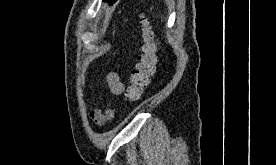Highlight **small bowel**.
I'll use <instances>...</instances> for the list:
<instances>
[{
  "label": "small bowel",
  "mask_w": 276,
  "mask_h": 165,
  "mask_svg": "<svg viewBox=\"0 0 276 165\" xmlns=\"http://www.w3.org/2000/svg\"><path fill=\"white\" fill-rule=\"evenodd\" d=\"M106 81H107L109 90L112 94L120 95L124 92L125 86L117 73L109 72L106 76ZM112 116H113V112L110 109H108L106 112L94 110L90 113V117L97 124H103L106 120L111 119Z\"/></svg>",
  "instance_id": "small-bowel-1"
}]
</instances>
